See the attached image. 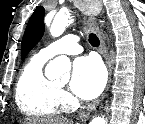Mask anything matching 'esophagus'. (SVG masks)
<instances>
[{
	"instance_id": "1",
	"label": "esophagus",
	"mask_w": 145,
	"mask_h": 124,
	"mask_svg": "<svg viewBox=\"0 0 145 124\" xmlns=\"http://www.w3.org/2000/svg\"><path fill=\"white\" fill-rule=\"evenodd\" d=\"M102 10V4L100 1H95L92 4V7L89 9H85L84 13L88 16V23L89 26L91 27V29L96 33V35L99 38L100 41V52L105 60L107 69H108V84L106 87V92L109 89L110 83H111V76H112V67H111V62H110V58H109V54H108V50L105 44V40L103 37L102 32L100 31L97 22H96V16L100 14ZM106 92L100 97V99H98L97 101H95L93 104H90L87 108H85L83 111H81L79 113V119L82 122H85L91 115V112L94 111L97 106L99 105V103L104 99V97L106 96Z\"/></svg>"
}]
</instances>
